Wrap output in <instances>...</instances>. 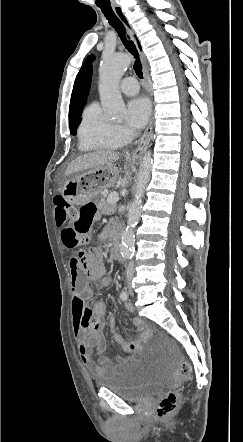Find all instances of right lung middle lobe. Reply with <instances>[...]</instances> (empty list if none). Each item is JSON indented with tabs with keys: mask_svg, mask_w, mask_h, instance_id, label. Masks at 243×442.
Segmentation results:
<instances>
[{
	"mask_svg": "<svg viewBox=\"0 0 243 442\" xmlns=\"http://www.w3.org/2000/svg\"><path fill=\"white\" fill-rule=\"evenodd\" d=\"M79 123H80V122H77V123H75V124H73V125H70V133H71L72 135H75Z\"/></svg>",
	"mask_w": 243,
	"mask_h": 442,
	"instance_id": "dd1d6c3e",
	"label": "right lung middle lobe"
}]
</instances>
